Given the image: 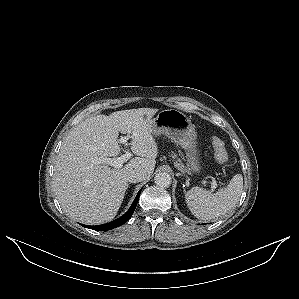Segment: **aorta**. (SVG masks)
<instances>
[{"instance_id": "aorta-1", "label": "aorta", "mask_w": 299, "mask_h": 299, "mask_svg": "<svg viewBox=\"0 0 299 299\" xmlns=\"http://www.w3.org/2000/svg\"><path fill=\"white\" fill-rule=\"evenodd\" d=\"M157 186L167 188L171 185V176L166 172H159L154 177Z\"/></svg>"}]
</instances>
